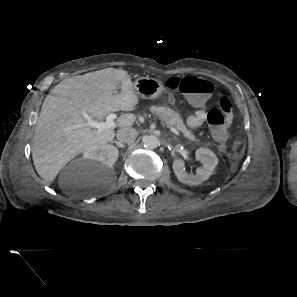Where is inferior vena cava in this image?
<instances>
[{"instance_id": "1", "label": "inferior vena cava", "mask_w": 297, "mask_h": 297, "mask_svg": "<svg viewBox=\"0 0 297 297\" xmlns=\"http://www.w3.org/2000/svg\"><path fill=\"white\" fill-rule=\"evenodd\" d=\"M116 136L120 143H129L136 139L137 131L132 127H126L118 130Z\"/></svg>"}]
</instances>
